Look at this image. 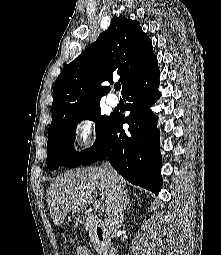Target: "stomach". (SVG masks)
I'll use <instances>...</instances> for the list:
<instances>
[{
    "instance_id": "stomach-1",
    "label": "stomach",
    "mask_w": 221,
    "mask_h": 255,
    "mask_svg": "<svg viewBox=\"0 0 221 255\" xmlns=\"http://www.w3.org/2000/svg\"><path fill=\"white\" fill-rule=\"evenodd\" d=\"M77 219H80V216H79V215H77Z\"/></svg>"
}]
</instances>
